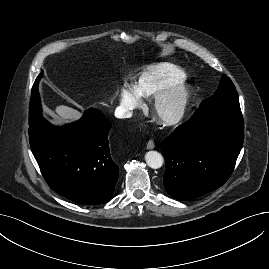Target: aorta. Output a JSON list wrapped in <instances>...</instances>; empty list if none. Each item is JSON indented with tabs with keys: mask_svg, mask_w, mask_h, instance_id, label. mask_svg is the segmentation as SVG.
<instances>
[{
	"mask_svg": "<svg viewBox=\"0 0 269 269\" xmlns=\"http://www.w3.org/2000/svg\"><path fill=\"white\" fill-rule=\"evenodd\" d=\"M145 160L150 168L158 169L163 165V157L157 151H148L145 155Z\"/></svg>",
	"mask_w": 269,
	"mask_h": 269,
	"instance_id": "762f6f07",
	"label": "aorta"
}]
</instances>
